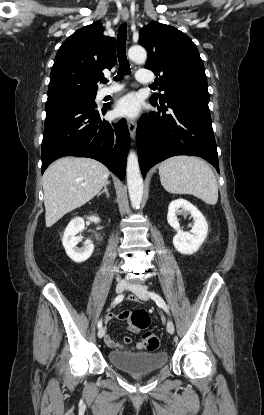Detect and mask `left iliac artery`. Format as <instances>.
I'll return each instance as SVG.
<instances>
[{
	"label": "left iliac artery",
	"instance_id": "1",
	"mask_svg": "<svg viewBox=\"0 0 264 415\" xmlns=\"http://www.w3.org/2000/svg\"><path fill=\"white\" fill-rule=\"evenodd\" d=\"M149 296L156 302L158 306L162 307L169 314L168 307L160 295L156 294L155 292H149Z\"/></svg>",
	"mask_w": 264,
	"mask_h": 415
}]
</instances>
